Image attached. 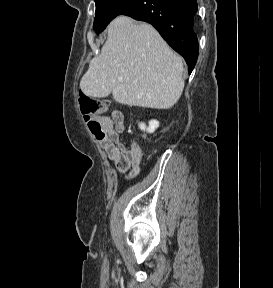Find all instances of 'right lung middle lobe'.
<instances>
[{"mask_svg":"<svg viewBox=\"0 0 273 288\" xmlns=\"http://www.w3.org/2000/svg\"><path fill=\"white\" fill-rule=\"evenodd\" d=\"M137 0H95L96 16L93 29L97 34L118 15L129 9Z\"/></svg>","mask_w":273,"mask_h":288,"instance_id":"obj_1","label":"right lung middle lobe"}]
</instances>
